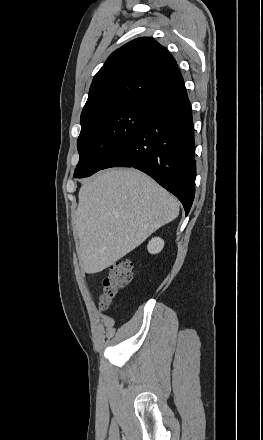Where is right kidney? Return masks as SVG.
<instances>
[{
	"label": "right kidney",
	"mask_w": 263,
	"mask_h": 440,
	"mask_svg": "<svg viewBox=\"0 0 263 440\" xmlns=\"http://www.w3.org/2000/svg\"><path fill=\"white\" fill-rule=\"evenodd\" d=\"M164 247V241L159 238V237H155L153 239H151V241H149L148 243V251L151 254H156L159 253Z\"/></svg>",
	"instance_id": "ca27d5eb"
}]
</instances>
